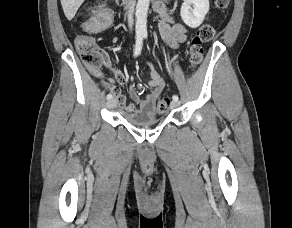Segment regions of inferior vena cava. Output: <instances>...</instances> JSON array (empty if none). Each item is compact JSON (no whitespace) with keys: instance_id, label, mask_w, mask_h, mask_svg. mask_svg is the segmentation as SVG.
Wrapping results in <instances>:
<instances>
[{"instance_id":"602c4592","label":"inferior vena cava","mask_w":292,"mask_h":228,"mask_svg":"<svg viewBox=\"0 0 292 228\" xmlns=\"http://www.w3.org/2000/svg\"><path fill=\"white\" fill-rule=\"evenodd\" d=\"M135 8V0H130L129 9H128V25L132 29L133 26V14Z\"/></svg>"}]
</instances>
